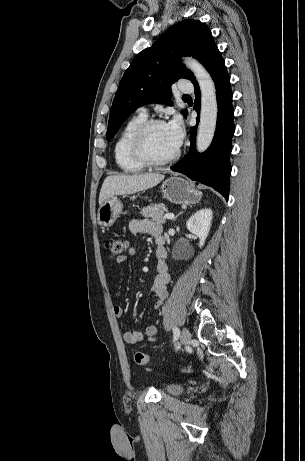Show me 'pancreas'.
<instances>
[{"label": "pancreas", "instance_id": "obj_1", "mask_svg": "<svg viewBox=\"0 0 305 461\" xmlns=\"http://www.w3.org/2000/svg\"><path fill=\"white\" fill-rule=\"evenodd\" d=\"M166 210L167 208L164 204H150L141 210V215L150 218L158 224H164L166 218L163 216V212Z\"/></svg>", "mask_w": 305, "mask_h": 461}]
</instances>
